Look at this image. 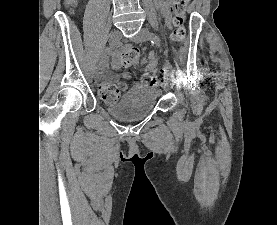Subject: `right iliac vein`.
Returning a JSON list of instances; mask_svg holds the SVG:
<instances>
[{
	"label": "right iliac vein",
	"mask_w": 277,
	"mask_h": 225,
	"mask_svg": "<svg viewBox=\"0 0 277 225\" xmlns=\"http://www.w3.org/2000/svg\"><path fill=\"white\" fill-rule=\"evenodd\" d=\"M120 39H121V33L117 30L113 31L110 35L109 45L115 46L119 42ZM98 81H99V73H98V71H96L95 83L97 84Z\"/></svg>",
	"instance_id": "63e3f726"
}]
</instances>
